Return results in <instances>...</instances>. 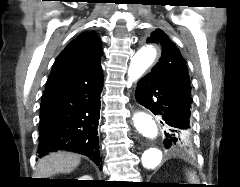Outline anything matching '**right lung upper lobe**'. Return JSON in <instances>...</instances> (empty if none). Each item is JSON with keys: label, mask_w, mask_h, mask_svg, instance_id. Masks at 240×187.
Returning <instances> with one entry per match:
<instances>
[{"label": "right lung upper lobe", "mask_w": 240, "mask_h": 187, "mask_svg": "<svg viewBox=\"0 0 240 187\" xmlns=\"http://www.w3.org/2000/svg\"><path fill=\"white\" fill-rule=\"evenodd\" d=\"M102 54L101 42L96 33L83 32L56 58L45 92L101 74Z\"/></svg>", "instance_id": "1"}]
</instances>
